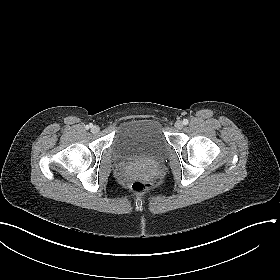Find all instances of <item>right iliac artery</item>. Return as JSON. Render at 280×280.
Here are the masks:
<instances>
[{"mask_svg": "<svg viewBox=\"0 0 280 280\" xmlns=\"http://www.w3.org/2000/svg\"><path fill=\"white\" fill-rule=\"evenodd\" d=\"M92 126H93L92 124H89V125H86L85 128H86V129H89V128H92Z\"/></svg>", "mask_w": 280, "mask_h": 280, "instance_id": "right-iliac-artery-1", "label": "right iliac artery"}]
</instances>
